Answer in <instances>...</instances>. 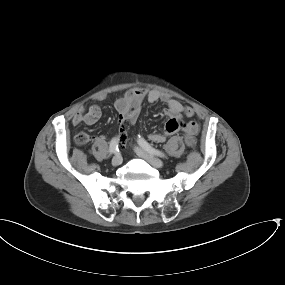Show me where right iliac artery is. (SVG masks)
<instances>
[{
    "label": "right iliac artery",
    "mask_w": 285,
    "mask_h": 285,
    "mask_svg": "<svg viewBox=\"0 0 285 285\" xmlns=\"http://www.w3.org/2000/svg\"><path fill=\"white\" fill-rule=\"evenodd\" d=\"M119 139L113 138L110 142L109 152L110 154L116 153L118 149Z\"/></svg>",
    "instance_id": "82829eb1"
}]
</instances>
